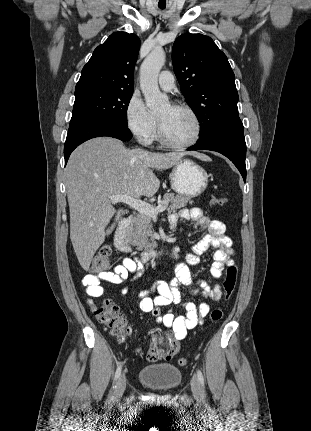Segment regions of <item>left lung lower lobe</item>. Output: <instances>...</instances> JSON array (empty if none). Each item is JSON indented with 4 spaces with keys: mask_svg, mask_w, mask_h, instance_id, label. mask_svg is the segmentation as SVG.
I'll return each instance as SVG.
<instances>
[{
    "mask_svg": "<svg viewBox=\"0 0 311 431\" xmlns=\"http://www.w3.org/2000/svg\"><path fill=\"white\" fill-rule=\"evenodd\" d=\"M188 150H212L228 157L240 171L246 181V143L241 121L223 125L212 134L188 148Z\"/></svg>",
    "mask_w": 311,
    "mask_h": 431,
    "instance_id": "1",
    "label": "left lung lower lobe"
}]
</instances>
